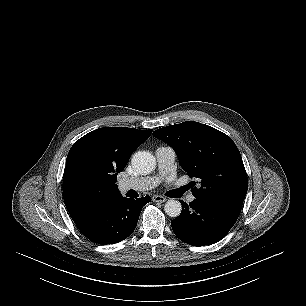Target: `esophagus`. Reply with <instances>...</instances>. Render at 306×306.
<instances>
[{
    "label": "esophagus",
    "mask_w": 306,
    "mask_h": 306,
    "mask_svg": "<svg viewBox=\"0 0 306 306\" xmlns=\"http://www.w3.org/2000/svg\"><path fill=\"white\" fill-rule=\"evenodd\" d=\"M166 200H167L166 197L160 196V195H154V196L152 197V201H154V202L163 203V202H165Z\"/></svg>",
    "instance_id": "esophagus-1"
}]
</instances>
